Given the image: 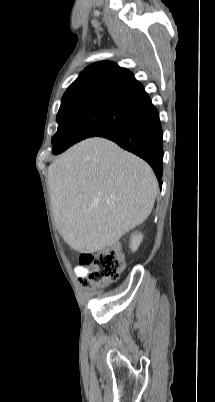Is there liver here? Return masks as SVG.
Listing matches in <instances>:
<instances>
[{
  "label": "liver",
  "mask_w": 215,
  "mask_h": 402,
  "mask_svg": "<svg viewBox=\"0 0 215 402\" xmlns=\"http://www.w3.org/2000/svg\"><path fill=\"white\" fill-rule=\"evenodd\" d=\"M56 225L80 253L114 245L150 215L158 191L151 167L104 138L69 148L48 168Z\"/></svg>",
  "instance_id": "obj_1"
}]
</instances>
